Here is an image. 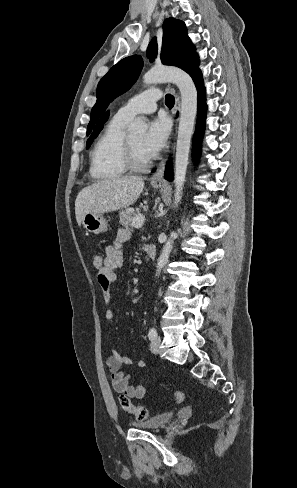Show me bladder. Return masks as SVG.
<instances>
[{
  "label": "bladder",
  "mask_w": 297,
  "mask_h": 488,
  "mask_svg": "<svg viewBox=\"0 0 297 488\" xmlns=\"http://www.w3.org/2000/svg\"><path fill=\"white\" fill-rule=\"evenodd\" d=\"M173 417L172 412H164L160 413L154 417H151L148 420L141 421V422H133L132 425L136 428L139 429H146V430H155L163 427L166 425L168 422Z\"/></svg>",
  "instance_id": "31cf9c89"
}]
</instances>
